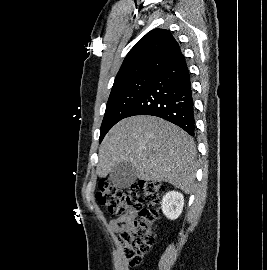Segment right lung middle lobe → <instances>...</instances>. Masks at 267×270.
<instances>
[{
	"instance_id": "1",
	"label": "right lung middle lobe",
	"mask_w": 267,
	"mask_h": 270,
	"mask_svg": "<svg viewBox=\"0 0 267 270\" xmlns=\"http://www.w3.org/2000/svg\"><path fill=\"white\" fill-rule=\"evenodd\" d=\"M155 75H141L112 88L100 129L101 142L106 133L120 120L126 118L151 84Z\"/></svg>"
}]
</instances>
